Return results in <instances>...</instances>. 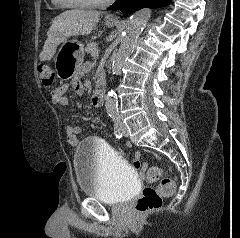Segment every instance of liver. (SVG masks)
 <instances>
[{
    "label": "liver",
    "mask_w": 240,
    "mask_h": 238,
    "mask_svg": "<svg viewBox=\"0 0 240 238\" xmlns=\"http://www.w3.org/2000/svg\"><path fill=\"white\" fill-rule=\"evenodd\" d=\"M100 18L97 11L67 10L57 16L47 33V40L40 54V60H50L58 47L74 35H88L94 29Z\"/></svg>",
    "instance_id": "liver-1"
}]
</instances>
